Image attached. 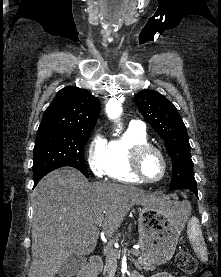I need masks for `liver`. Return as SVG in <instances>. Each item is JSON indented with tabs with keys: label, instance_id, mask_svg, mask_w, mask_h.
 <instances>
[{
	"label": "liver",
	"instance_id": "obj_1",
	"mask_svg": "<svg viewBox=\"0 0 221 277\" xmlns=\"http://www.w3.org/2000/svg\"><path fill=\"white\" fill-rule=\"evenodd\" d=\"M166 202L132 186L90 183L74 168L47 174L34 190L28 277H54L72 254H91L99 237L95 221L100 216L105 215L104 233L112 237L132 206L165 207Z\"/></svg>",
	"mask_w": 221,
	"mask_h": 277
}]
</instances>
